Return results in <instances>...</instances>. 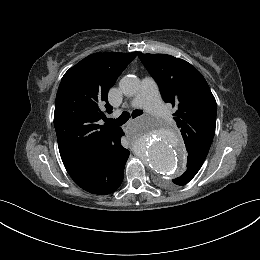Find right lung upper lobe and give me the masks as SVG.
Segmentation results:
<instances>
[{"mask_svg":"<svg viewBox=\"0 0 260 260\" xmlns=\"http://www.w3.org/2000/svg\"><path fill=\"white\" fill-rule=\"evenodd\" d=\"M133 53H94L70 68L57 92L54 125L59 152L68 172L117 143L120 127L99 125L111 113L108 90L136 57Z\"/></svg>","mask_w":260,"mask_h":260,"instance_id":"cb5924a9","label":"right lung upper lobe"}]
</instances>
